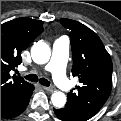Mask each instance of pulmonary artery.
<instances>
[{"instance_id":"e3ab8cb5","label":"pulmonary artery","mask_w":121,"mask_h":121,"mask_svg":"<svg viewBox=\"0 0 121 121\" xmlns=\"http://www.w3.org/2000/svg\"><path fill=\"white\" fill-rule=\"evenodd\" d=\"M69 55V41L66 37H60L55 40L52 50V58L45 67L52 73L56 84L65 91L71 88L70 82L66 77V65Z\"/></svg>"}]
</instances>
